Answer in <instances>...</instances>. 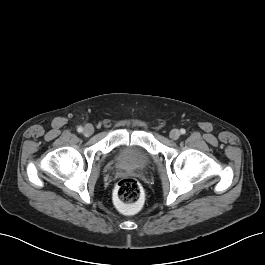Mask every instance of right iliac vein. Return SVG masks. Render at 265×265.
Here are the masks:
<instances>
[{
    "mask_svg": "<svg viewBox=\"0 0 265 265\" xmlns=\"http://www.w3.org/2000/svg\"><path fill=\"white\" fill-rule=\"evenodd\" d=\"M93 132H94V127L91 124H87L84 127L83 133L85 136H90L93 134Z\"/></svg>",
    "mask_w": 265,
    "mask_h": 265,
    "instance_id": "obj_1",
    "label": "right iliac vein"
}]
</instances>
